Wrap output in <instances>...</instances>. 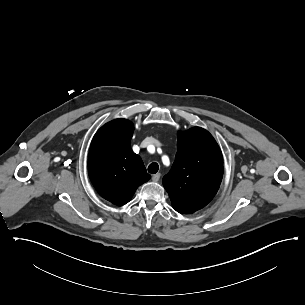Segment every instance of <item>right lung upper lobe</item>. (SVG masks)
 <instances>
[{
    "label": "right lung upper lobe",
    "instance_id": "1",
    "mask_svg": "<svg viewBox=\"0 0 305 305\" xmlns=\"http://www.w3.org/2000/svg\"><path fill=\"white\" fill-rule=\"evenodd\" d=\"M132 122L115 119L95 134L89 151L88 173L97 192L121 206L129 202L136 189L151 176L142 159L131 149Z\"/></svg>",
    "mask_w": 305,
    "mask_h": 305
}]
</instances>
